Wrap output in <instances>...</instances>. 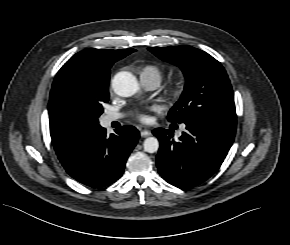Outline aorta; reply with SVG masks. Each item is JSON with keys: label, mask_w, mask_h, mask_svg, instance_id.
I'll use <instances>...</instances> for the list:
<instances>
[{"label": "aorta", "mask_w": 290, "mask_h": 245, "mask_svg": "<svg viewBox=\"0 0 290 245\" xmlns=\"http://www.w3.org/2000/svg\"><path fill=\"white\" fill-rule=\"evenodd\" d=\"M114 92L122 97H130L140 90L136 77L130 72H119L112 80ZM144 150L148 153H155L159 149V141L155 137H148L143 143Z\"/></svg>", "instance_id": "762f6f07"}]
</instances>
